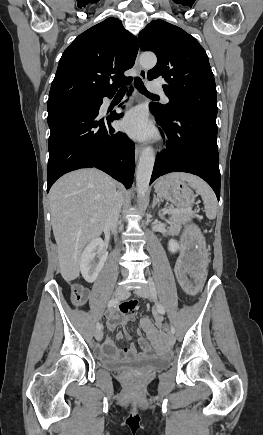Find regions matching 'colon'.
<instances>
[{
  "instance_id": "obj_1",
  "label": "colon",
  "mask_w": 263,
  "mask_h": 435,
  "mask_svg": "<svg viewBox=\"0 0 263 435\" xmlns=\"http://www.w3.org/2000/svg\"><path fill=\"white\" fill-rule=\"evenodd\" d=\"M87 297V290L79 284H74L72 286V301L75 305L80 306L84 303L85 299ZM162 330L164 335H168L169 329L171 328L170 324H163ZM151 341V340H150ZM162 342V340H161Z\"/></svg>"
}]
</instances>
